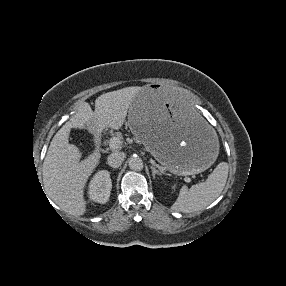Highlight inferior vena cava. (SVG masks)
Returning <instances> with one entry per match:
<instances>
[{"label": "inferior vena cava", "instance_id": "1", "mask_svg": "<svg viewBox=\"0 0 286 286\" xmlns=\"http://www.w3.org/2000/svg\"><path fill=\"white\" fill-rule=\"evenodd\" d=\"M125 154L122 152H114L110 154L107 158L108 165L112 168H118L124 161Z\"/></svg>", "mask_w": 286, "mask_h": 286}]
</instances>
